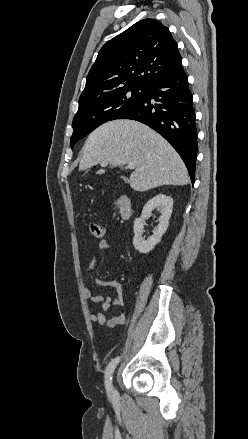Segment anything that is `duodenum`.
<instances>
[{
    "instance_id": "duodenum-1",
    "label": "duodenum",
    "mask_w": 248,
    "mask_h": 439,
    "mask_svg": "<svg viewBox=\"0 0 248 439\" xmlns=\"http://www.w3.org/2000/svg\"><path fill=\"white\" fill-rule=\"evenodd\" d=\"M116 207L123 220H128L131 217L132 214L131 199L127 194L122 193L119 195V197L116 200Z\"/></svg>"
}]
</instances>
